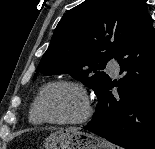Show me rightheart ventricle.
<instances>
[{"mask_svg":"<svg viewBox=\"0 0 155 149\" xmlns=\"http://www.w3.org/2000/svg\"><path fill=\"white\" fill-rule=\"evenodd\" d=\"M29 121L36 126L42 125L44 123L36 112L34 102L32 103L29 110Z\"/></svg>","mask_w":155,"mask_h":149,"instance_id":"e07e8e85","label":"right heart ventricle"}]
</instances>
